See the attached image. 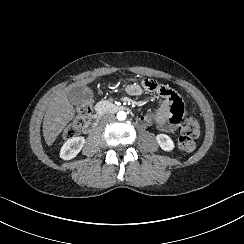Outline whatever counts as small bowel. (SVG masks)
<instances>
[{
  "label": "small bowel",
  "instance_id": "1",
  "mask_svg": "<svg viewBox=\"0 0 244 244\" xmlns=\"http://www.w3.org/2000/svg\"><path fill=\"white\" fill-rule=\"evenodd\" d=\"M125 91L130 96H141L144 92H153L162 98L157 109L141 114L139 121L144 126H155L161 131L174 126L183 112L181 97L171 88L153 79L130 82Z\"/></svg>",
  "mask_w": 244,
  "mask_h": 244
}]
</instances>
